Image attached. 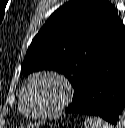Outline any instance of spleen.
Here are the masks:
<instances>
[{
	"label": "spleen",
	"instance_id": "3e777b00",
	"mask_svg": "<svg viewBox=\"0 0 125 128\" xmlns=\"http://www.w3.org/2000/svg\"><path fill=\"white\" fill-rule=\"evenodd\" d=\"M84 126L85 128H112L108 123L97 117H87Z\"/></svg>",
	"mask_w": 125,
	"mask_h": 128
}]
</instances>
